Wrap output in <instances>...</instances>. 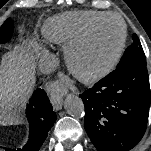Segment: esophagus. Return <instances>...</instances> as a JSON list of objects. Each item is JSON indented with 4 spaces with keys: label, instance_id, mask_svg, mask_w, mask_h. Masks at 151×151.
<instances>
[{
    "label": "esophagus",
    "instance_id": "34e87169",
    "mask_svg": "<svg viewBox=\"0 0 151 151\" xmlns=\"http://www.w3.org/2000/svg\"><path fill=\"white\" fill-rule=\"evenodd\" d=\"M50 101L55 110H60L62 108L63 99L58 92L56 91L50 92Z\"/></svg>",
    "mask_w": 151,
    "mask_h": 151
}]
</instances>
